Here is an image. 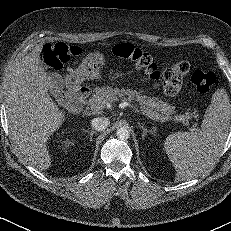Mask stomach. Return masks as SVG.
I'll use <instances>...</instances> for the list:
<instances>
[{"label":"stomach","mask_w":231,"mask_h":231,"mask_svg":"<svg viewBox=\"0 0 231 231\" xmlns=\"http://www.w3.org/2000/svg\"><path fill=\"white\" fill-rule=\"evenodd\" d=\"M104 66V58L99 53H90L82 60L74 73L66 77V85L74 86L85 79H98L101 77V69Z\"/></svg>","instance_id":"0dacf381"}]
</instances>
